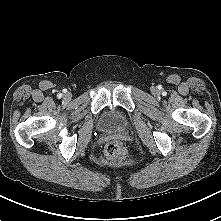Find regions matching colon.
I'll return each mask as SVG.
<instances>
[{
  "label": "colon",
  "instance_id": "obj_1",
  "mask_svg": "<svg viewBox=\"0 0 221 221\" xmlns=\"http://www.w3.org/2000/svg\"><path fill=\"white\" fill-rule=\"evenodd\" d=\"M106 154L114 160H126L129 157V150L123 142L115 140L106 146Z\"/></svg>",
  "mask_w": 221,
  "mask_h": 221
}]
</instances>
